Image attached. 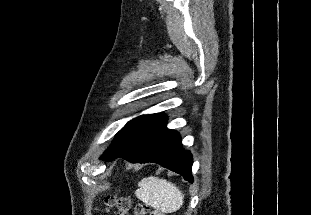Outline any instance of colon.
I'll list each match as a JSON object with an SVG mask.
<instances>
[{
    "instance_id": "5ec220e1",
    "label": "colon",
    "mask_w": 311,
    "mask_h": 215,
    "mask_svg": "<svg viewBox=\"0 0 311 215\" xmlns=\"http://www.w3.org/2000/svg\"><path fill=\"white\" fill-rule=\"evenodd\" d=\"M104 205L107 211L116 209L120 215H128L130 211H133L134 215H165L160 210L151 209L146 204H138L133 207L128 197L108 195L104 199Z\"/></svg>"
}]
</instances>
